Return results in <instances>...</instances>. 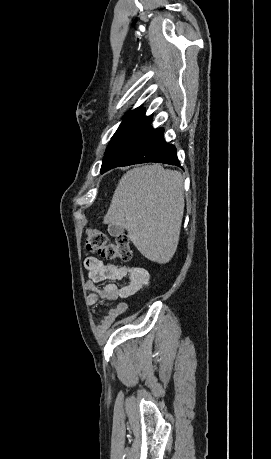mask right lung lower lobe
I'll list each match as a JSON object with an SVG mask.
<instances>
[{"label": "right lung lower lobe", "mask_w": 271, "mask_h": 459, "mask_svg": "<svg viewBox=\"0 0 271 459\" xmlns=\"http://www.w3.org/2000/svg\"><path fill=\"white\" fill-rule=\"evenodd\" d=\"M163 133L162 128L153 129L149 124L109 161L102 173L118 166L146 162L180 166L175 146L165 142Z\"/></svg>", "instance_id": "right-lung-lower-lobe-1"}]
</instances>
